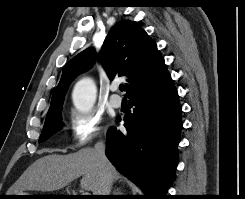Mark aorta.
I'll return each instance as SVG.
<instances>
[{
  "mask_svg": "<svg viewBox=\"0 0 245 199\" xmlns=\"http://www.w3.org/2000/svg\"><path fill=\"white\" fill-rule=\"evenodd\" d=\"M72 98L77 110L90 111L96 99V85L93 80L90 78L79 80L74 87Z\"/></svg>",
  "mask_w": 245,
  "mask_h": 199,
  "instance_id": "aorta-1",
  "label": "aorta"
}]
</instances>
